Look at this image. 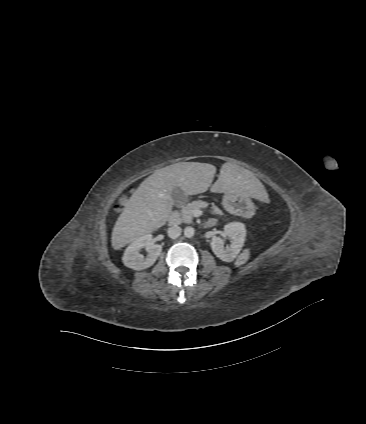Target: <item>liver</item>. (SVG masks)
Returning a JSON list of instances; mask_svg holds the SVG:
<instances>
[{
  "label": "liver",
  "mask_w": 366,
  "mask_h": 424,
  "mask_svg": "<svg viewBox=\"0 0 366 424\" xmlns=\"http://www.w3.org/2000/svg\"><path fill=\"white\" fill-rule=\"evenodd\" d=\"M215 173L214 165L199 162H180L156 170L135 190L118 217L111 236L113 249L119 250L164 226L172 212L174 188L180 187L185 196L204 193L211 186ZM210 190L261 200L265 189L251 171L224 163Z\"/></svg>",
  "instance_id": "1"
}]
</instances>
